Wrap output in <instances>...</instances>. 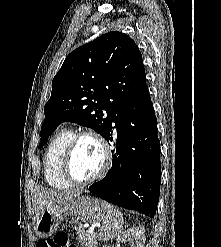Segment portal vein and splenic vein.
<instances>
[{"mask_svg":"<svg viewBox=\"0 0 221 247\" xmlns=\"http://www.w3.org/2000/svg\"><path fill=\"white\" fill-rule=\"evenodd\" d=\"M93 228H90L89 230H87V232L89 233V234H93Z\"/></svg>","mask_w":221,"mask_h":247,"instance_id":"18ae733b","label":"portal vein and splenic vein"}]
</instances>
